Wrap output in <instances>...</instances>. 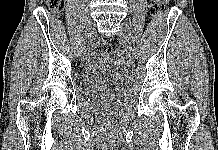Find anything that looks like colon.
Returning a JSON list of instances; mask_svg holds the SVG:
<instances>
[{"mask_svg":"<svg viewBox=\"0 0 218 150\" xmlns=\"http://www.w3.org/2000/svg\"><path fill=\"white\" fill-rule=\"evenodd\" d=\"M47 5L53 12H58L64 6V0H47ZM147 11L150 15H157L164 9V0H146ZM96 50L102 54H110L112 47L105 39H99L95 44Z\"/></svg>","mask_w":218,"mask_h":150,"instance_id":"5ec220e1","label":"colon"}]
</instances>
